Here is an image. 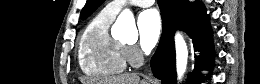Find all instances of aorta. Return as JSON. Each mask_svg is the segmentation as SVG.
I'll list each match as a JSON object with an SVG mask.
<instances>
[{
	"instance_id": "1",
	"label": "aorta",
	"mask_w": 260,
	"mask_h": 84,
	"mask_svg": "<svg viewBox=\"0 0 260 84\" xmlns=\"http://www.w3.org/2000/svg\"><path fill=\"white\" fill-rule=\"evenodd\" d=\"M115 27L118 29V35L126 41H135L138 37L134 15L129 9H125L120 13L116 20ZM175 48L177 74L178 79H181L187 68L188 49L180 33L175 35Z\"/></svg>"
}]
</instances>
